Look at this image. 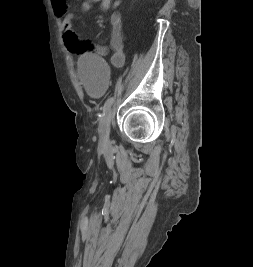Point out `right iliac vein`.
I'll return each instance as SVG.
<instances>
[{"label":"right iliac vein","instance_id":"right-iliac-vein-1","mask_svg":"<svg viewBox=\"0 0 253 267\" xmlns=\"http://www.w3.org/2000/svg\"><path fill=\"white\" fill-rule=\"evenodd\" d=\"M113 115H114L113 109H109L104 115L99 125L100 140L104 145L109 144L110 124Z\"/></svg>","mask_w":253,"mask_h":267}]
</instances>
